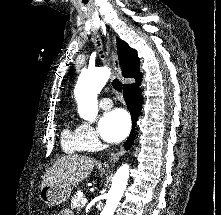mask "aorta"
Listing matches in <instances>:
<instances>
[{
	"mask_svg": "<svg viewBox=\"0 0 221 215\" xmlns=\"http://www.w3.org/2000/svg\"><path fill=\"white\" fill-rule=\"evenodd\" d=\"M109 77L110 70L107 67L96 68L81 74L75 88L78 113L81 118L91 122L96 119L98 114L97 95L106 85ZM129 172L128 164H123L117 169L107 195L106 205L100 215H113L126 189Z\"/></svg>",
	"mask_w": 221,
	"mask_h": 215,
	"instance_id": "aorta-1",
	"label": "aorta"
}]
</instances>
